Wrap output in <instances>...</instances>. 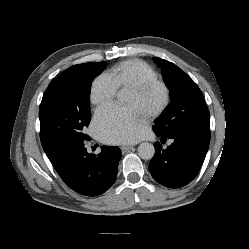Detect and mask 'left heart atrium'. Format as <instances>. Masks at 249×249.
<instances>
[{
    "instance_id": "obj_1",
    "label": "left heart atrium",
    "mask_w": 249,
    "mask_h": 249,
    "mask_svg": "<svg viewBox=\"0 0 249 249\" xmlns=\"http://www.w3.org/2000/svg\"><path fill=\"white\" fill-rule=\"evenodd\" d=\"M94 130L97 137L105 143L135 142L143 135L142 117L133 108L105 105L95 113Z\"/></svg>"
}]
</instances>
